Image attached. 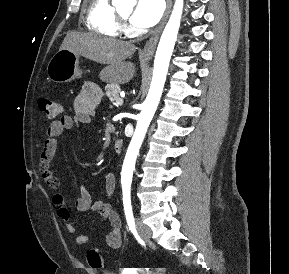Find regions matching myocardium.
Wrapping results in <instances>:
<instances>
[{
	"mask_svg": "<svg viewBox=\"0 0 289 274\" xmlns=\"http://www.w3.org/2000/svg\"><path fill=\"white\" fill-rule=\"evenodd\" d=\"M117 17L122 25H126L128 23V18L122 16L120 13H117Z\"/></svg>",
	"mask_w": 289,
	"mask_h": 274,
	"instance_id": "1",
	"label": "myocardium"
}]
</instances>
